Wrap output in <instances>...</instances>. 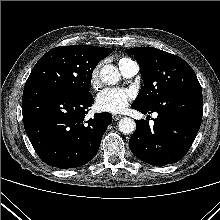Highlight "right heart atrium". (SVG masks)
Wrapping results in <instances>:
<instances>
[{
    "mask_svg": "<svg viewBox=\"0 0 220 220\" xmlns=\"http://www.w3.org/2000/svg\"><path fill=\"white\" fill-rule=\"evenodd\" d=\"M90 81H91V85L93 87L98 86L99 84V66L96 67L92 73H91V77H90Z\"/></svg>",
    "mask_w": 220,
    "mask_h": 220,
    "instance_id": "right-heart-atrium-1",
    "label": "right heart atrium"
}]
</instances>
